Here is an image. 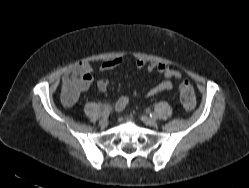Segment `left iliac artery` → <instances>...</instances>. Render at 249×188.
Returning a JSON list of instances; mask_svg holds the SVG:
<instances>
[{
  "instance_id": "obj_1",
  "label": "left iliac artery",
  "mask_w": 249,
  "mask_h": 188,
  "mask_svg": "<svg viewBox=\"0 0 249 188\" xmlns=\"http://www.w3.org/2000/svg\"><path fill=\"white\" fill-rule=\"evenodd\" d=\"M149 115H150L151 118H156V115L154 113H152V112H150Z\"/></svg>"
}]
</instances>
